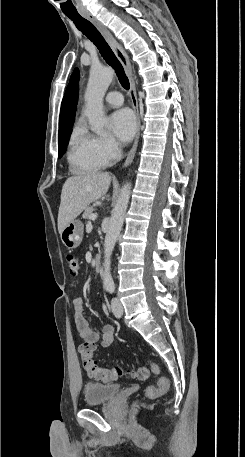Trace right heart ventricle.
Wrapping results in <instances>:
<instances>
[{
    "label": "right heart ventricle",
    "mask_w": 245,
    "mask_h": 457,
    "mask_svg": "<svg viewBox=\"0 0 245 457\" xmlns=\"http://www.w3.org/2000/svg\"><path fill=\"white\" fill-rule=\"evenodd\" d=\"M71 159L87 170H99L107 163L101 159L88 142L87 132L81 125H76L70 138Z\"/></svg>",
    "instance_id": "right-heart-ventricle-1"
}]
</instances>
